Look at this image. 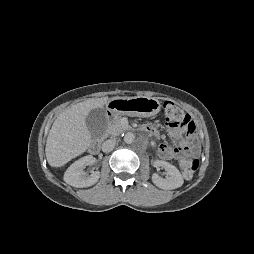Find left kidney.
<instances>
[{
	"instance_id": "5707ae66",
	"label": "left kidney",
	"mask_w": 254,
	"mask_h": 254,
	"mask_svg": "<svg viewBox=\"0 0 254 254\" xmlns=\"http://www.w3.org/2000/svg\"><path fill=\"white\" fill-rule=\"evenodd\" d=\"M154 166L156 168L161 167L165 169L167 175L165 178L160 177L157 173L152 175V181L157 187L161 189L172 190L183 185L184 180L181 173L172 164L166 161L156 160L154 162Z\"/></svg>"
}]
</instances>
